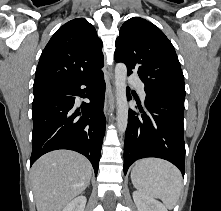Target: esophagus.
<instances>
[{
    "instance_id": "1",
    "label": "esophagus",
    "mask_w": 221,
    "mask_h": 211,
    "mask_svg": "<svg viewBox=\"0 0 221 211\" xmlns=\"http://www.w3.org/2000/svg\"><path fill=\"white\" fill-rule=\"evenodd\" d=\"M109 107H110V100H109L108 95H106L105 96V104H104V112H105V114H107V112L109 110Z\"/></svg>"
}]
</instances>
